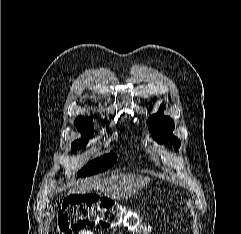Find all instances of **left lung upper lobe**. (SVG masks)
<instances>
[{
	"instance_id": "obj_1",
	"label": "left lung upper lobe",
	"mask_w": 241,
	"mask_h": 234,
	"mask_svg": "<svg viewBox=\"0 0 241 234\" xmlns=\"http://www.w3.org/2000/svg\"><path fill=\"white\" fill-rule=\"evenodd\" d=\"M164 108V105H161L159 111L148 119L149 130L158 143L169 141L170 144L175 145V151H178L181 142L173 135L174 121L163 114Z\"/></svg>"
}]
</instances>
